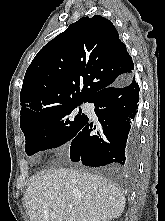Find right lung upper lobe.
<instances>
[{
	"label": "right lung upper lobe",
	"instance_id": "obj_1",
	"mask_svg": "<svg viewBox=\"0 0 165 221\" xmlns=\"http://www.w3.org/2000/svg\"><path fill=\"white\" fill-rule=\"evenodd\" d=\"M133 75L132 58L112 22L100 15L83 17L48 42L28 67L20 93V123L89 102L100 90Z\"/></svg>",
	"mask_w": 165,
	"mask_h": 221
}]
</instances>
